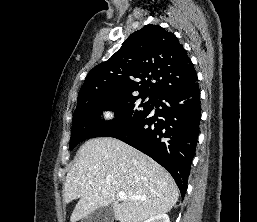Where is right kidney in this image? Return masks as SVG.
Here are the masks:
<instances>
[{"instance_id":"right-kidney-1","label":"right kidney","mask_w":257,"mask_h":222,"mask_svg":"<svg viewBox=\"0 0 257 222\" xmlns=\"http://www.w3.org/2000/svg\"><path fill=\"white\" fill-rule=\"evenodd\" d=\"M144 222H170L169 216L167 214H159L149 219L145 220Z\"/></svg>"}]
</instances>
